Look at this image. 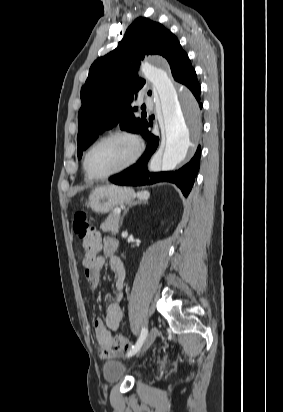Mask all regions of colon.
Masks as SVG:
<instances>
[{
	"instance_id": "1",
	"label": "colon",
	"mask_w": 283,
	"mask_h": 412,
	"mask_svg": "<svg viewBox=\"0 0 283 412\" xmlns=\"http://www.w3.org/2000/svg\"><path fill=\"white\" fill-rule=\"evenodd\" d=\"M73 229L82 242L84 256L95 257L99 249L97 233L89 221L87 212L84 209L76 211L73 218ZM114 350L126 352L130 350L131 343L124 335H117L114 338Z\"/></svg>"
}]
</instances>
